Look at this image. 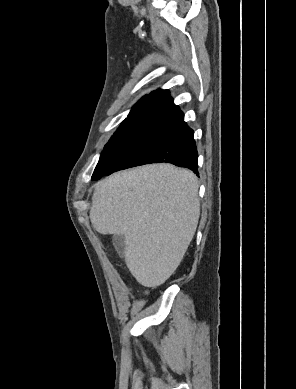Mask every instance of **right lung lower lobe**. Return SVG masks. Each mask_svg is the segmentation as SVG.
<instances>
[{
	"label": "right lung lower lobe",
	"instance_id": "1",
	"mask_svg": "<svg viewBox=\"0 0 296 389\" xmlns=\"http://www.w3.org/2000/svg\"><path fill=\"white\" fill-rule=\"evenodd\" d=\"M193 136V130L187 126L184 120H181L174 129L154 145L141 165L166 162L189 168L198 175V152ZM115 171L118 170L110 169L102 173L94 172L92 180H98L102 176H108Z\"/></svg>",
	"mask_w": 296,
	"mask_h": 389
}]
</instances>
